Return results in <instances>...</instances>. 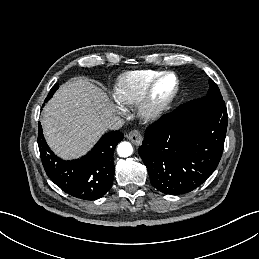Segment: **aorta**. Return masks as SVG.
<instances>
[{"label":"aorta","instance_id":"aorta-1","mask_svg":"<svg viewBox=\"0 0 259 259\" xmlns=\"http://www.w3.org/2000/svg\"><path fill=\"white\" fill-rule=\"evenodd\" d=\"M117 152L120 157H129L133 153V147L129 142H121L117 147Z\"/></svg>","mask_w":259,"mask_h":259}]
</instances>
